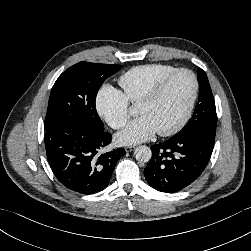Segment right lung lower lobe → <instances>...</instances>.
Wrapping results in <instances>:
<instances>
[{
    "mask_svg": "<svg viewBox=\"0 0 251 251\" xmlns=\"http://www.w3.org/2000/svg\"><path fill=\"white\" fill-rule=\"evenodd\" d=\"M111 134L82 122H64L45 131V148L50 167L67 189L95 194L108 185L123 148L102 153Z\"/></svg>",
    "mask_w": 251,
    "mask_h": 251,
    "instance_id": "right-lung-lower-lobe-1",
    "label": "right lung lower lobe"
}]
</instances>
